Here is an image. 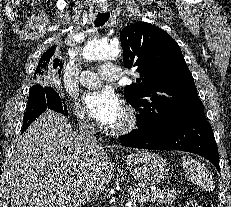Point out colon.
<instances>
[{
	"label": "colon",
	"mask_w": 231,
	"mask_h": 207,
	"mask_svg": "<svg viewBox=\"0 0 231 207\" xmlns=\"http://www.w3.org/2000/svg\"><path fill=\"white\" fill-rule=\"evenodd\" d=\"M186 207H201L200 204L195 200H188L186 202Z\"/></svg>",
	"instance_id": "obj_1"
}]
</instances>
